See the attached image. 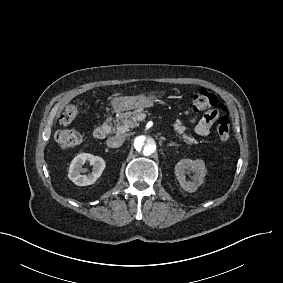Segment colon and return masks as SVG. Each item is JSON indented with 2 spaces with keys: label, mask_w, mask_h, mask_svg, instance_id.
I'll use <instances>...</instances> for the list:
<instances>
[{
  "label": "colon",
  "mask_w": 283,
  "mask_h": 283,
  "mask_svg": "<svg viewBox=\"0 0 283 283\" xmlns=\"http://www.w3.org/2000/svg\"><path fill=\"white\" fill-rule=\"evenodd\" d=\"M219 110V117L215 125V139L219 142L226 141L230 136V119L226 107L220 103L218 97L207 89H198L192 93V108L195 111H207L210 108ZM83 115L81 105L70 103L61 113L60 120L63 124H71L78 121ZM81 133L76 129L59 130L56 140L60 147L70 149L81 142Z\"/></svg>",
  "instance_id": "5ec220e1"
}]
</instances>
